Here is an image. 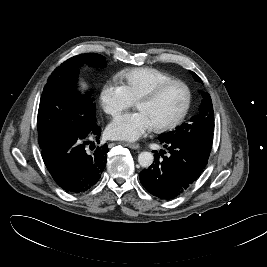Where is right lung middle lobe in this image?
<instances>
[{
  "label": "right lung middle lobe",
  "instance_id": "1",
  "mask_svg": "<svg viewBox=\"0 0 267 267\" xmlns=\"http://www.w3.org/2000/svg\"><path fill=\"white\" fill-rule=\"evenodd\" d=\"M104 64L95 53L74 56L58 66L47 80L38 110V142L41 149L65 133L84 132L96 124L91 92L76 84L79 67Z\"/></svg>",
  "mask_w": 267,
  "mask_h": 267
}]
</instances>
